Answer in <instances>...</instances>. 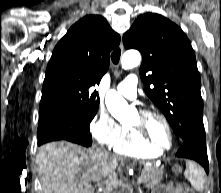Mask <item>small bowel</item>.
<instances>
[{
    "label": "small bowel",
    "mask_w": 221,
    "mask_h": 193,
    "mask_svg": "<svg viewBox=\"0 0 221 193\" xmlns=\"http://www.w3.org/2000/svg\"><path fill=\"white\" fill-rule=\"evenodd\" d=\"M185 188L187 187L181 184H170L155 189L153 193H185Z\"/></svg>",
    "instance_id": "1"
}]
</instances>
